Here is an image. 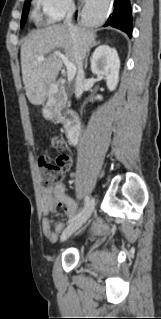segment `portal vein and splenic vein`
Masks as SVG:
<instances>
[{"label": "portal vein and splenic vein", "instance_id": "obj_1", "mask_svg": "<svg viewBox=\"0 0 161 319\" xmlns=\"http://www.w3.org/2000/svg\"><path fill=\"white\" fill-rule=\"evenodd\" d=\"M55 55H57L62 62L65 64L66 68H67V77H68V81H71L76 73V66L74 63L70 62L69 59L67 58L66 55L60 53L59 51L55 52ZM45 58L44 56H39L38 57V61H44Z\"/></svg>", "mask_w": 161, "mask_h": 319}]
</instances>
